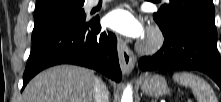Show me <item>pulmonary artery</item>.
I'll return each mask as SVG.
<instances>
[{
	"label": "pulmonary artery",
	"mask_w": 221,
	"mask_h": 102,
	"mask_svg": "<svg viewBox=\"0 0 221 102\" xmlns=\"http://www.w3.org/2000/svg\"><path fill=\"white\" fill-rule=\"evenodd\" d=\"M108 1H110V0H102V1H100V0H90V7L96 6L97 4H99V2H108Z\"/></svg>",
	"instance_id": "1"
}]
</instances>
